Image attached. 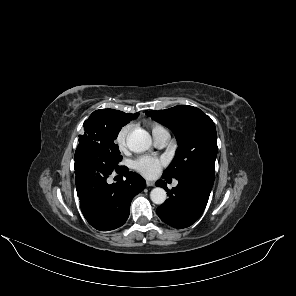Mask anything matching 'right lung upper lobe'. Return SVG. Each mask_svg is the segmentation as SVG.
I'll return each mask as SVG.
<instances>
[{
	"label": "right lung upper lobe",
	"mask_w": 296,
	"mask_h": 296,
	"mask_svg": "<svg viewBox=\"0 0 296 296\" xmlns=\"http://www.w3.org/2000/svg\"><path fill=\"white\" fill-rule=\"evenodd\" d=\"M113 109H101V110H97L95 112H93L89 119L87 121H92L93 119L95 118H102L104 116H106V114H108L109 112H111ZM130 114V113H129ZM135 114H138V113H135ZM133 114V115H135ZM89 122H86V124H88Z\"/></svg>",
	"instance_id": "1"
}]
</instances>
